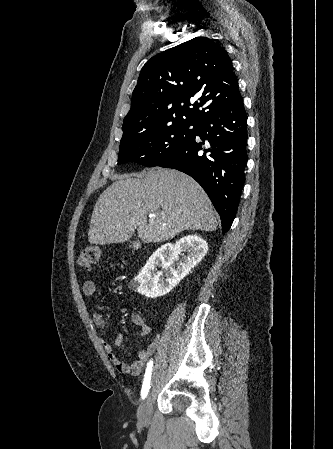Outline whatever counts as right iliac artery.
I'll return each instance as SVG.
<instances>
[{
  "label": "right iliac artery",
  "mask_w": 333,
  "mask_h": 449,
  "mask_svg": "<svg viewBox=\"0 0 333 449\" xmlns=\"http://www.w3.org/2000/svg\"><path fill=\"white\" fill-rule=\"evenodd\" d=\"M152 367H153V361L150 360L147 363V368H146V372H145V376H144V380H143V385H142V389H141V397H142V399H144L147 396L149 388H150Z\"/></svg>",
  "instance_id": "obj_1"
}]
</instances>
